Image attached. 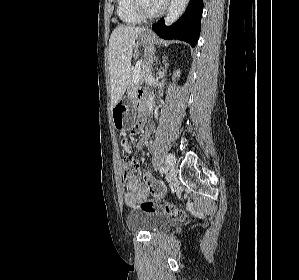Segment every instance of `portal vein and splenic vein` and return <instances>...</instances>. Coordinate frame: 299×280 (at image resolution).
Returning <instances> with one entry per match:
<instances>
[{
    "label": "portal vein and splenic vein",
    "mask_w": 299,
    "mask_h": 280,
    "mask_svg": "<svg viewBox=\"0 0 299 280\" xmlns=\"http://www.w3.org/2000/svg\"><path fill=\"white\" fill-rule=\"evenodd\" d=\"M140 73H141V63H139L134 71V82H138L140 79Z\"/></svg>",
    "instance_id": "18ae733b"
}]
</instances>
